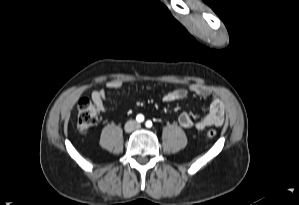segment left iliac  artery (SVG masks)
I'll return each mask as SVG.
<instances>
[{
  "instance_id": "1",
  "label": "left iliac artery",
  "mask_w": 299,
  "mask_h": 205,
  "mask_svg": "<svg viewBox=\"0 0 299 205\" xmlns=\"http://www.w3.org/2000/svg\"><path fill=\"white\" fill-rule=\"evenodd\" d=\"M152 126V122L151 121H147L146 122V127L150 128Z\"/></svg>"
}]
</instances>
